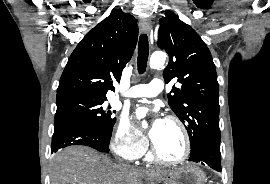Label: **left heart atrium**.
Listing matches in <instances>:
<instances>
[{"instance_id":"left-heart-atrium-1","label":"left heart atrium","mask_w":270,"mask_h":184,"mask_svg":"<svg viewBox=\"0 0 270 184\" xmlns=\"http://www.w3.org/2000/svg\"><path fill=\"white\" fill-rule=\"evenodd\" d=\"M148 116L152 117L148 134H149V137L154 141L157 138L165 120L161 119L156 114V112L148 109L147 107H139L135 112V117L138 120L145 119Z\"/></svg>"}]
</instances>
